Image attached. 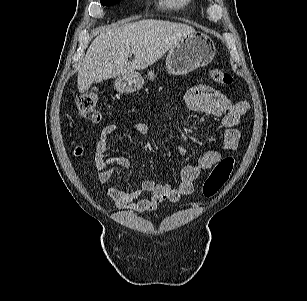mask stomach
Returning <instances> with one entry per match:
<instances>
[{"label":"stomach","mask_w":307,"mask_h":301,"mask_svg":"<svg viewBox=\"0 0 307 301\" xmlns=\"http://www.w3.org/2000/svg\"><path fill=\"white\" fill-rule=\"evenodd\" d=\"M216 53L212 40L204 33L192 32L182 37L171 48L166 57V68L172 75H184L197 68L207 66ZM147 78L153 80L155 74L149 71ZM144 85V78L139 72L119 76L115 89L120 93H133Z\"/></svg>","instance_id":"obj_1"}]
</instances>
